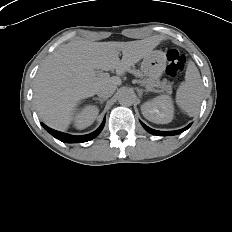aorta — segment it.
Listing matches in <instances>:
<instances>
[{
  "mask_svg": "<svg viewBox=\"0 0 232 232\" xmlns=\"http://www.w3.org/2000/svg\"><path fill=\"white\" fill-rule=\"evenodd\" d=\"M134 100V93L127 88H123L118 94L120 104L131 105Z\"/></svg>",
  "mask_w": 232,
  "mask_h": 232,
  "instance_id": "obj_1",
  "label": "aorta"
}]
</instances>
